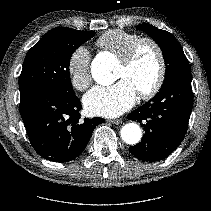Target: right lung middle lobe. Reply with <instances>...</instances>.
I'll list each match as a JSON object with an SVG mask.
<instances>
[{"label":"right lung middle lobe","mask_w":211,"mask_h":211,"mask_svg":"<svg viewBox=\"0 0 211 211\" xmlns=\"http://www.w3.org/2000/svg\"><path fill=\"white\" fill-rule=\"evenodd\" d=\"M95 34L57 27L47 32L27 53L19 77L20 97L41 90L73 95L69 64L73 52Z\"/></svg>","instance_id":"obj_1"}]
</instances>
